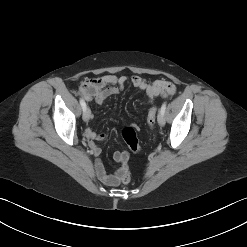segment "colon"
I'll list each match as a JSON object with an SVG mask.
<instances>
[{"label": "colon", "mask_w": 247, "mask_h": 247, "mask_svg": "<svg viewBox=\"0 0 247 247\" xmlns=\"http://www.w3.org/2000/svg\"><path fill=\"white\" fill-rule=\"evenodd\" d=\"M156 116H157V108L153 107L149 110L148 115H147V122L150 126H153L156 122ZM122 137L128 147L133 151V152H139L140 151V146H139V141L137 138L136 134V126H129L123 129L122 131ZM131 180L130 174L128 172L124 173L121 176V182L123 184H128Z\"/></svg>", "instance_id": "1"}]
</instances>
